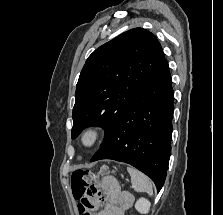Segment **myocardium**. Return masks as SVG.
<instances>
[{
    "label": "myocardium",
    "mask_w": 223,
    "mask_h": 215,
    "mask_svg": "<svg viewBox=\"0 0 223 215\" xmlns=\"http://www.w3.org/2000/svg\"><path fill=\"white\" fill-rule=\"evenodd\" d=\"M100 128L98 126H89L80 134V143L84 148L93 147L100 137Z\"/></svg>",
    "instance_id": "obj_1"
}]
</instances>
